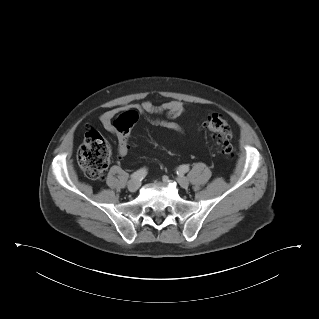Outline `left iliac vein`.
<instances>
[{
  "instance_id": "left-iliac-vein-1",
  "label": "left iliac vein",
  "mask_w": 319,
  "mask_h": 319,
  "mask_svg": "<svg viewBox=\"0 0 319 319\" xmlns=\"http://www.w3.org/2000/svg\"><path fill=\"white\" fill-rule=\"evenodd\" d=\"M177 182L182 188H187L189 186V180L183 175L177 177Z\"/></svg>"
}]
</instances>
